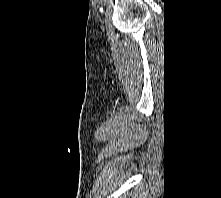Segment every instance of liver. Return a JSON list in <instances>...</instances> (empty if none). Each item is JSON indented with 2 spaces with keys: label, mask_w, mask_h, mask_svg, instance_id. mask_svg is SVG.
Returning <instances> with one entry per match:
<instances>
[{
  "label": "liver",
  "mask_w": 221,
  "mask_h": 198,
  "mask_svg": "<svg viewBox=\"0 0 221 198\" xmlns=\"http://www.w3.org/2000/svg\"><path fill=\"white\" fill-rule=\"evenodd\" d=\"M132 198H151L149 195L148 191H136L133 195Z\"/></svg>",
  "instance_id": "1"
}]
</instances>
